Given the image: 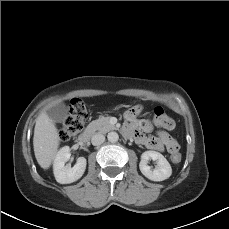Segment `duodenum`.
Here are the masks:
<instances>
[{
  "mask_svg": "<svg viewBox=\"0 0 229 229\" xmlns=\"http://www.w3.org/2000/svg\"><path fill=\"white\" fill-rule=\"evenodd\" d=\"M93 135H94V129L89 128L87 131H85L83 134L79 136L78 143L82 145L89 143Z\"/></svg>",
  "mask_w": 229,
  "mask_h": 229,
  "instance_id": "duodenum-1",
  "label": "duodenum"
}]
</instances>
